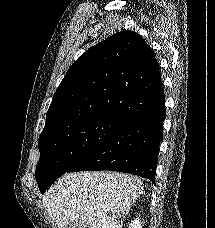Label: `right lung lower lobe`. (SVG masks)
<instances>
[{"label":"right lung lower lobe","instance_id":"98d812e1","mask_svg":"<svg viewBox=\"0 0 215 228\" xmlns=\"http://www.w3.org/2000/svg\"><path fill=\"white\" fill-rule=\"evenodd\" d=\"M164 119L163 101L125 120L67 172L111 170L141 176L155 184Z\"/></svg>","mask_w":215,"mask_h":228}]
</instances>
